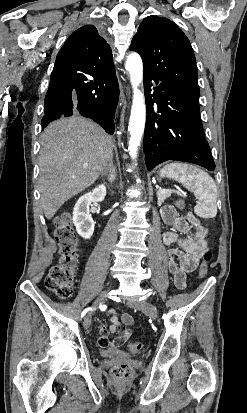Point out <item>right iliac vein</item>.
Masks as SVG:
<instances>
[{
  "label": "right iliac vein",
  "instance_id": "obj_1",
  "mask_svg": "<svg viewBox=\"0 0 247 413\" xmlns=\"http://www.w3.org/2000/svg\"><path fill=\"white\" fill-rule=\"evenodd\" d=\"M107 301V294L105 292L101 293L95 300L94 305L99 303H105ZM92 324V312H89L83 322L84 328H89Z\"/></svg>",
  "mask_w": 247,
  "mask_h": 413
}]
</instances>
